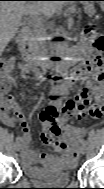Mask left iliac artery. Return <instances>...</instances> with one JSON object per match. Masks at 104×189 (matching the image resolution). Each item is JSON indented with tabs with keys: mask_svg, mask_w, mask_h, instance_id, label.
<instances>
[{
	"mask_svg": "<svg viewBox=\"0 0 104 189\" xmlns=\"http://www.w3.org/2000/svg\"><path fill=\"white\" fill-rule=\"evenodd\" d=\"M81 142H82V145H83L82 147H85L86 144H87L86 141L85 140H81Z\"/></svg>",
	"mask_w": 104,
	"mask_h": 189,
	"instance_id": "44dca946",
	"label": "left iliac artery"
}]
</instances>
